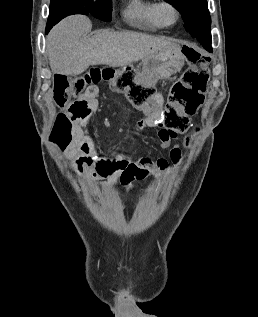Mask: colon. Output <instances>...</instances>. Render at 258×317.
Here are the masks:
<instances>
[{
  "mask_svg": "<svg viewBox=\"0 0 258 317\" xmlns=\"http://www.w3.org/2000/svg\"><path fill=\"white\" fill-rule=\"evenodd\" d=\"M184 53L190 68L171 87L158 121L159 127L171 138L184 133L189 127L190 116L202 103L209 79L210 56L194 47L185 48ZM101 82L124 93L135 107L145 113L158 112L159 102L154 88L140 82L132 71H119L111 67H90L81 76L74 78L57 75L54 80V101L63 108L70 99L82 94L89 86ZM71 104L58 112L51 133L52 141L61 148L68 147L75 135L76 122L70 111Z\"/></svg>",
  "mask_w": 258,
  "mask_h": 317,
  "instance_id": "1",
  "label": "colon"
}]
</instances>
